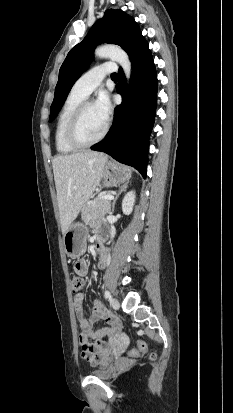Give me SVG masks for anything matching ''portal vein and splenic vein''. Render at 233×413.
Masks as SVG:
<instances>
[{
    "instance_id": "obj_1",
    "label": "portal vein and splenic vein",
    "mask_w": 233,
    "mask_h": 413,
    "mask_svg": "<svg viewBox=\"0 0 233 413\" xmlns=\"http://www.w3.org/2000/svg\"><path fill=\"white\" fill-rule=\"evenodd\" d=\"M99 198H103V199H106V200H112V199H113V195H112V194H106V195L100 196ZM99 198H98V199H99Z\"/></svg>"
}]
</instances>
